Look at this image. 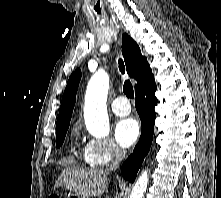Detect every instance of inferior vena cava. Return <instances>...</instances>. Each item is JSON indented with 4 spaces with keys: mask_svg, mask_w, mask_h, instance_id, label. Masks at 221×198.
Here are the masks:
<instances>
[{
    "mask_svg": "<svg viewBox=\"0 0 221 198\" xmlns=\"http://www.w3.org/2000/svg\"><path fill=\"white\" fill-rule=\"evenodd\" d=\"M124 157H125V151L120 147H115L112 153V161L107 171H115L116 169H118L119 164Z\"/></svg>",
    "mask_w": 221,
    "mask_h": 198,
    "instance_id": "602c4592",
    "label": "inferior vena cava"
}]
</instances>
